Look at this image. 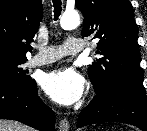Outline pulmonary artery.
Listing matches in <instances>:
<instances>
[{
  "instance_id": "e3ab8cb5",
  "label": "pulmonary artery",
  "mask_w": 147,
  "mask_h": 131,
  "mask_svg": "<svg viewBox=\"0 0 147 131\" xmlns=\"http://www.w3.org/2000/svg\"><path fill=\"white\" fill-rule=\"evenodd\" d=\"M39 52L30 60L32 66L55 62L64 56L75 55L83 50L79 39L69 38L60 46H38Z\"/></svg>"
}]
</instances>
